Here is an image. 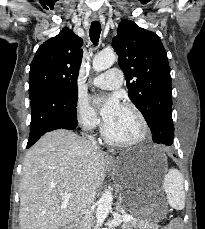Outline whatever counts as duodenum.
<instances>
[{"instance_id": "duodenum-1", "label": "duodenum", "mask_w": 205, "mask_h": 229, "mask_svg": "<svg viewBox=\"0 0 205 229\" xmlns=\"http://www.w3.org/2000/svg\"><path fill=\"white\" fill-rule=\"evenodd\" d=\"M80 227H79V224L78 223H76V224H74V225H72V226H69V227H67V228H64V229H79Z\"/></svg>"}]
</instances>
